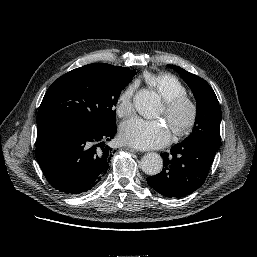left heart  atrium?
<instances>
[{
	"label": "left heart atrium",
	"instance_id": "39dd6f15",
	"mask_svg": "<svg viewBox=\"0 0 257 257\" xmlns=\"http://www.w3.org/2000/svg\"><path fill=\"white\" fill-rule=\"evenodd\" d=\"M120 140L128 145L141 148H159L170 140V131L161 121L133 118L120 126Z\"/></svg>",
	"mask_w": 257,
	"mask_h": 257
}]
</instances>
